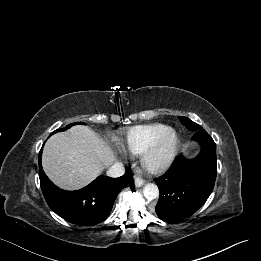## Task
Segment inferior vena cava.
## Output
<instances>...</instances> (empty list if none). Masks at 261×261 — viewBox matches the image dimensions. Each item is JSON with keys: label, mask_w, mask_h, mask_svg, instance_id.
I'll return each mask as SVG.
<instances>
[{"label": "inferior vena cava", "mask_w": 261, "mask_h": 261, "mask_svg": "<svg viewBox=\"0 0 261 261\" xmlns=\"http://www.w3.org/2000/svg\"><path fill=\"white\" fill-rule=\"evenodd\" d=\"M125 173L124 166L121 162L113 163L107 170L106 174L109 177H120Z\"/></svg>", "instance_id": "obj_1"}]
</instances>
